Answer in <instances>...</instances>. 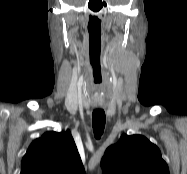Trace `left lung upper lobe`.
Here are the masks:
<instances>
[{"mask_svg":"<svg viewBox=\"0 0 187 174\" xmlns=\"http://www.w3.org/2000/svg\"><path fill=\"white\" fill-rule=\"evenodd\" d=\"M101 166L103 174H169L159 148L141 135H122L107 148Z\"/></svg>","mask_w":187,"mask_h":174,"instance_id":"left-lung-upper-lobe-1","label":"left lung upper lobe"}]
</instances>
